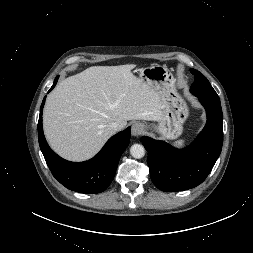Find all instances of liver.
Wrapping results in <instances>:
<instances>
[{"instance_id":"liver-1","label":"liver","mask_w":253,"mask_h":253,"mask_svg":"<svg viewBox=\"0 0 253 253\" xmlns=\"http://www.w3.org/2000/svg\"><path fill=\"white\" fill-rule=\"evenodd\" d=\"M134 64L92 66L62 80L48 95L43 129L51 148L65 159L84 161L100 151L128 120L159 121L158 90L131 73Z\"/></svg>"}]
</instances>
